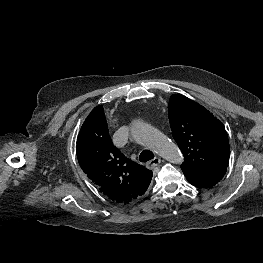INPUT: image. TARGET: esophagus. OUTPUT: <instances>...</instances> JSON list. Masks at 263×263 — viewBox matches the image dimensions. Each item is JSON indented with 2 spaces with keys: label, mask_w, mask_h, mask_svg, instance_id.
<instances>
[{
  "label": "esophagus",
  "mask_w": 263,
  "mask_h": 263,
  "mask_svg": "<svg viewBox=\"0 0 263 263\" xmlns=\"http://www.w3.org/2000/svg\"><path fill=\"white\" fill-rule=\"evenodd\" d=\"M161 163V159L159 157H155L154 159L147 162L146 167L148 169H154Z\"/></svg>",
  "instance_id": "1"
}]
</instances>
